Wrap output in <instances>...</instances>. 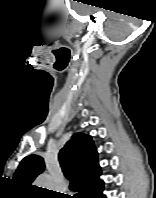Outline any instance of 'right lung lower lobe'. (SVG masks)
<instances>
[{
    "label": "right lung lower lobe",
    "mask_w": 156,
    "mask_h": 198,
    "mask_svg": "<svg viewBox=\"0 0 156 198\" xmlns=\"http://www.w3.org/2000/svg\"><path fill=\"white\" fill-rule=\"evenodd\" d=\"M103 189L100 190L98 193H96L94 196H92L91 198H106L104 195H103Z\"/></svg>",
    "instance_id": "98d812e1"
}]
</instances>
